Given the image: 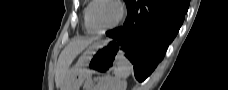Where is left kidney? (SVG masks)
<instances>
[{
    "instance_id": "5707ae66",
    "label": "left kidney",
    "mask_w": 228,
    "mask_h": 90,
    "mask_svg": "<svg viewBox=\"0 0 228 90\" xmlns=\"http://www.w3.org/2000/svg\"><path fill=\"white\" fill-rule=\"evenodd\" d=\"M127 82L111 76L101 78L94 90H126Z\"/></svg>"
}]
</instances>
